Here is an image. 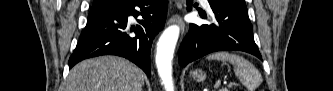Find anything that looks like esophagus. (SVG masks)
<instances>
[{"label": "esophagus", "mask_w": 333, "mask_h": 91, "mask_svg": "<svg viewBox=\"0 0 333 91\" xmlns=\"http://www.w3.org/2000/svg\"><path fill=\"white\" fill-rule=\"evenodd\" d=\"M169 23H176L180 26L181 29V33L184 32L185 29V24L184 21L182 19V17L178 14H174L170 19H169Z\"/></svg>", "instance_id": "esophagus-1"}]
</instances>
